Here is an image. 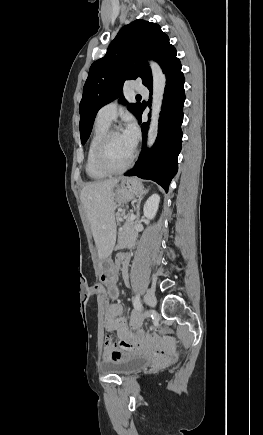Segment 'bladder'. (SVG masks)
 Wrapping results in <instances>:
<instances>
[{
	"label": "bladder",
	"instance_id": "bladder-1",
	"mask_svg": "<svg viewBox=\"0 0 263 435\" xmlns=\"http://www.w3.org/2000/svg\"><path fill=\"white\" fill-rule=\"evenodd\" d=\"M147 364V358L131 354L121 360L103 364L101 370L106 374L127 376L141 370Z\"/></svg>",
	"mask_w": 263,
	"mask_h": 435
}]
</instances>
